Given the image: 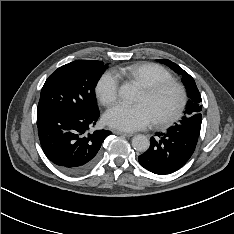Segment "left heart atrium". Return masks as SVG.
Segmentation results:
<instances>
[{"label":"left heart atrium","mask_w":234,"mask_h":234,"mask_svg":"<svg viewBox=\"0 0 234 234\" xmlns=\"http://www.w3.org/2000/svg\"><path fill=\"white\" fill-rule=\"evenodd\" d=\"M104 121L112 128L132 132L148 127L154 119L145 104H118L105 113Z\"/></svg>","instance_id":"39dd6f15"}]
</instances>
